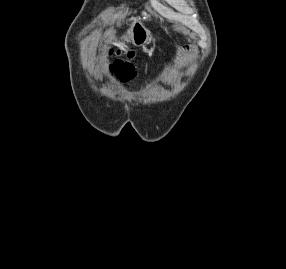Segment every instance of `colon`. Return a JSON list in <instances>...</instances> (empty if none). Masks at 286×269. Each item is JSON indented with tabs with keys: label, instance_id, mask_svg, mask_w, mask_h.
Returning a JSON list of instances; mask_svg holds the SVG:
<instances>
[{
	"label": "colon",
	"instance_id": "obj_1",
	"mask_svg": "<svg viewBox=\"0 0 286 269\" xmlns=\"http://www.w3.org/2000/svg\"><path fill=\"white\" fill-rule=\"evenodd\" d=\"M109 54H113V50L109 49ZM128 57H131V53L128 54ZM115 72L118 75H122L124 78H131L134 75V66L127 59H117L113 63Z\"/></svg>",
	"mask_w": 286,
	"mask_h": 269
}]
</instances>
